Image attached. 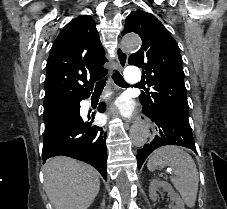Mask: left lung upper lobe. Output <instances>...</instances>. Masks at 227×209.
Segmentation results:
<instances>
[{"instance_id":"left-lung-upper-lobe-1","label":"left lung upper lobe","mask_w":227,"mask_h":209,"mask_svg":"<svg viewBox=\"0 0 227 209\" xmlns=\"http://www.w3.org/2000/svg\"><path fill=\"white\" fill-rule=\"evenodd\" d=\"M130 32L141 37L142 47L130 55L128 63L142 67L144 84L151 87V91L139 96L143 108L159 110L164 107L188 118L183 61L177 42L154 15L142 10L126 18L122 35Z\"/></svg>"}]
</instances>
